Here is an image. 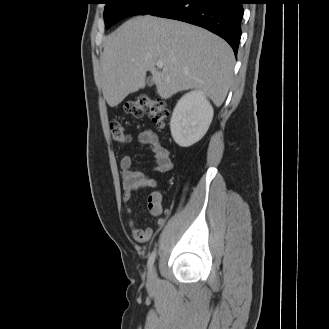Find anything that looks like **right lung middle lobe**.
Segmentation results:
<instances>
[{
  "label": "right lung middle lobe",
  "mask_w": 329,
  "mask_h": 329,
  "mask_svg": "<svg viewBox=\"0 0 329 329\" xmlns=\"http://www.w3.org/2000/svg\"><path fill=\"white\" fill-rule=\"evenodd\" d=\"M172 0H105L104 21L109 28L114 23L132 15H146Z\"/></svg>",
  "instance_id": "obj_1"
}]
</instances>
